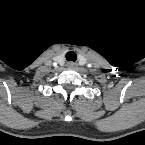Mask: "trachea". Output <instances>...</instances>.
I'll use <instances>...</instances> for the list:
<instances>
[{
	"mask_svg": "<svg viewBox=\"0 0 145 145\" xmlns=\"http://www.w3.org/2000/svg\"><path fill=\"white\" fill-rule=\"evenodd\" d=\"M66 59H67V61H73V62H75L76 59H77V55H76L75 52L70 51V52H68L66 54Z\"/></svg>",
	"mask_w": 145,
	"mask_h": 145,
	"instance_id": "obj_1",
	"label": "trachea"
}]
</instances>
